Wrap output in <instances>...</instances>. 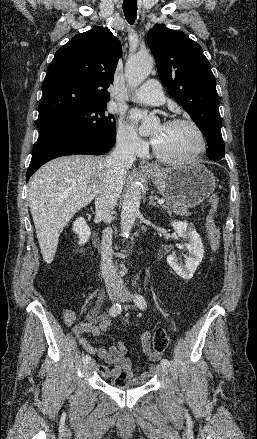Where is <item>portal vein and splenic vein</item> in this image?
<instances>
[{"label": "portal vein and splenic vein", "mask_w": 257, "mask_h": 439, "mask_svg": "<svg viewBox=\"0 0 257 439\" xmlns=\"http://www.w3.org/2000/svg\"><path fill=\"white\" fill-rule=\"evenodd\" d=\"M164 202H165L164 199H159V200H158V203H159V204H163Z\"/></svg>", "instance_id": "1"}]
</instances>
